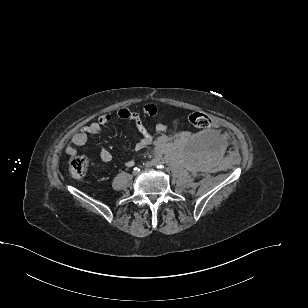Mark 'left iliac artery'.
Listing matches in <instances>:
<instances>
[{"label":"left iliac artery","mask_w":308,"mask_h":308,"mask_svg":"<svg viewBox=\"0 0 308 308\" xmlns=\"http://www.w3.org/2000/svg\"><path fill=\"white\" fill-rule=\"evenodd\" d=\"M156 166L157 168H163V165L161 163L157 164Z\"/></svg>","instance_id":"obj_1"}]
</instances>
